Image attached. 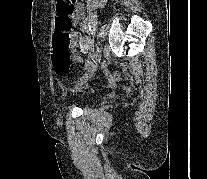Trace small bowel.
<instances>
[{"label":"small bowel","mask_w":207,"mask_h":179,"mask_svg":"<svg viewBox=\"0 0 207 179\" xmlns=\"http://www.w3.org/2000/svg\"><path fill=\"white\" fill-rule=\"evenodd\" d=\"M105 0H87V9L90 12H93L100 8L104 4ZM75 19L76 21L80 22L81 26H85V19H84V12L81 5H78L76 7V13H75ZM87 41V38H86ZM78 47V34L72 33V44L71 48L73 51V57L76 62H81V58L76 54V48Z\"/></svg>","instance_id":"obj_1"}]
</instances>
